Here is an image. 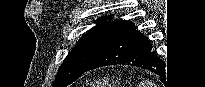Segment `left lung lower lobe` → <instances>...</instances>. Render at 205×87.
<instances>
[{"instance_id": "0a47b994", "label": "left lung lower lobe", "mask_w": 205, "mask_h": 87, "mask_svg": "<svg viewBox=\"0 0 205 87\" xmlns=\"http://www.w3.org/2000/svg\"><path fill=\"white\" fill-rule=\"evenodd\" d=\"M116 64L149 69L163 76L164 63L152 51L150 41L130 21L119 24L86 71Z\"/></svg>"}]
</instances>
